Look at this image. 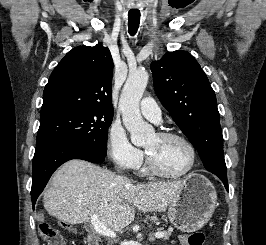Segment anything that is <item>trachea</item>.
I'll return each mask as SVG.
<instances>
[{"mask_svg":"<svg viewBox=\"0 0 266 245\" xmlns=\"http://www.w3.org/2000/svg\"><path fill=\"white\" fill-rule=\"evenodd\" d=\"M139 22H140V13H135L133 11H130L128 13V29L130 35H135L139 27Z\"/></svg>","mask_w":266,"mask_h":245,"instance_id":"3493384b","label":"trachea"}]
</instances>
